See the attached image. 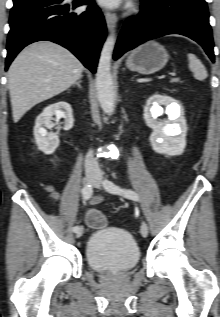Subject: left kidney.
<instances>
[{"mask_svg": "<svg viewBox=\"0 0 220 317\" xmlns=\"http://www.w3.org/2000/svg\"><path fill=\"white\" fill-rule=\"evenodd\" d=\"M160 105H166L168 120L157 119L164 112ZM144 120L147 126L153 129L149 140L155 152L170 156L184 152L187 126L181 107L176 100L158 93L152 95L144 107Z\"/></svg>", "mask_w": 220, "mask_h": 317, "instance_id": "obj_1", "label": "left kidney"}]
</instances>
